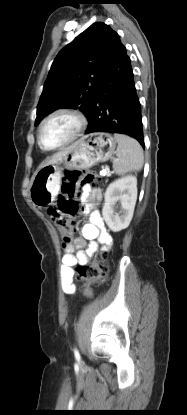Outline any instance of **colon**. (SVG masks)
<instances>
[{"label":"colon","mask_w":187,"mask_h":415,"mask_svg":"<svg viewBox=\"0 0 187 415\" xmlns=\"http://www.w3.org/2000/svg\"><path fill=\"white\" fill-rule=\"evenodd\" d=\"M96 181L97 176L92 171L68 173L61 186L57 207L48 209L47 213L64 244H68L74 234L73 217L78 211L79 187L93 184ZM108 271L109 266L106 260L99 257L86 266L78 267L77 274L84 283L98 286L105 281Z\"/></svg>","instance_id":"1"}]
</instances>
